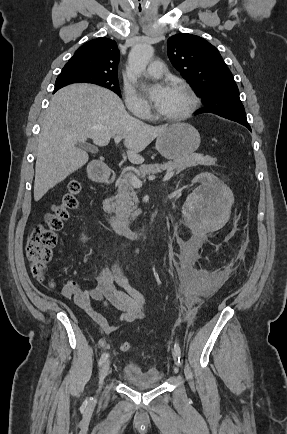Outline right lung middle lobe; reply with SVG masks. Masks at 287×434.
<instances>
[{
    "label": "right lung middle lobe",
    "mask_w": 287,
    "mask_h": 434,
    "mask_svg": "<svg viewBox=\"0 0 287 434\" xmlns=\"http://www.w3.org/2000/svg\"><path fill=\"white\" fill-rule=\"evenodd\" d=\"M72 83H91L100 85L121 96L117 77L94 75L77 69L63 68L60 75L56 79L55 87H63Z\"/></svg>",
    "instance_id": "1"
}]
</instances>
